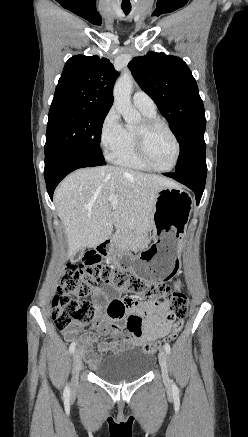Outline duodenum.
<instances>
[{
    "instance_id": "1",
    "label": "duodenum",
    "mask_w": 248,
    "mask_h": 437,
    "mask_svg": "<svg viewBox=\"0 0 248 437\" xmlns=\"http://www.w3.org/2000/svg\"><path fill=\"white\" fill-rule=\"evenodd\" d=\"M114 244V238L109 237L103 241L97 248H89L87 255L89 257H104Z\"/></svg>"
}]
</instances>
